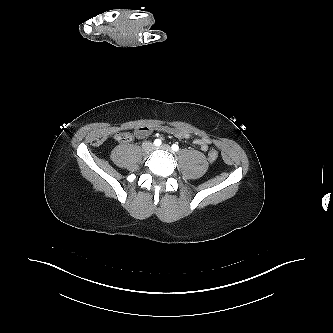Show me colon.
Listing matches in <instances>:
<instances>
[{"label":"colon","instance_id":"colon-1","mask_svg":"<svg viewBox=\"0 0 333 333\" xmlns=\"http://www.w3.org/2000/svg\"><path fill=\"white\" fill-rule=\"evenodd\" d=\"M115 139L120 143L128 142L132 139V135L128 132H119L115 135ZM218 158V151L214 148H211L208 151V159L210 161H215Z\"/></svg>","mask_w":333,"mask_h":333}]
</instances>
